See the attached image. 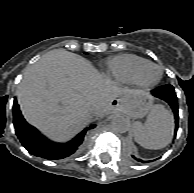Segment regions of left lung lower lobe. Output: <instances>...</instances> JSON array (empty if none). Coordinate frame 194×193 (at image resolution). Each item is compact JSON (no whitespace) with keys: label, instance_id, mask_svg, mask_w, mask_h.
<instances>
[{"label":"left lung lower lobe","instance_id":"0a47b994","mask_svg":"<svg viewBox=\"0 0 194 193\" xmlns=\"http://www.w3.org/2000/svg\"><path fill=\"white\" fill-rule=\"evenodd\" d=\"M152 94L164 101H166L170 107L172 108L174 112V117H175V136H176V131L178 130V122H179V116H178V105H177V97L174 91V87L172 85H164L159 89L153 90ZM133 158L136 159L135 156H132ZM138 161H141L138 159ZM145 163V161H142Z\"/></svg>","mask_w":194,"mask_h":193}]
</instances>
